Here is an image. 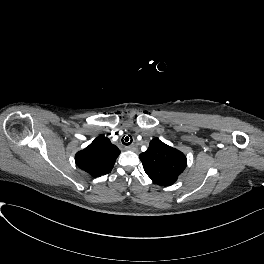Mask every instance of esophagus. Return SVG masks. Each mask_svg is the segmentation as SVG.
I'll return each instance as SVG.
<instances>
[{
	"mask_svg": "<svg viewBox=\"0 0 264 264\" xmlns=\"http://www.w3.org/2000/svg\"><path fill=\"white\" fill-rule=\"evenodd\" d=\"M125 149L135 151L137 149V147L135 145H130V146H126Z\"/></svg>",
	"mask_w": 264,
	"mask_h": 264,
	"instance_id": "1",
	"label": "esophagus"
}]
</instances>
